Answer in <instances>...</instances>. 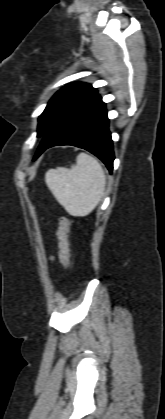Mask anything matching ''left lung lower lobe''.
<instances>
[{"instance_id": "0a47b994", "label": "left lung lower lobe", "mask_w": 165, "mask_h": 419, "mask_svg": "<svg viewBox=\"0 0 165 419\" xmlns=\"http://www.w3.org/2000/svg\"><path fill=\"white\" fill-rule=\"evenodd\" d=\"M108 123L105 103L97 94L74 107L57 122L43 137L34 160L50 147L73 145L96 155L112 172L114 153Z\"/></svg>"}]
</instances>
